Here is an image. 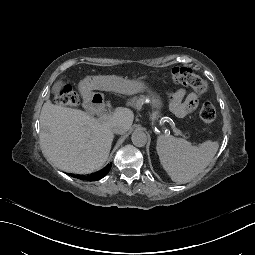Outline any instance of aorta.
Instances as JSON below:
<instances>
[{
    "mask_svg": "<svg viewBox=\"0 0 255 255\" xmlns=\"http://www.w3.org/2000/svg\"><path fill=\"white\" fill-rule=\"evenodd\" d=\"M131 140L136 147H143L147 143V135L141 130H136L133 132Z\"/></svg>",
    "mask_w": 255,
    "mask_h": 255,
    "instance_id": "obj_1",
    "label": "aorta"
}]
</instances>
